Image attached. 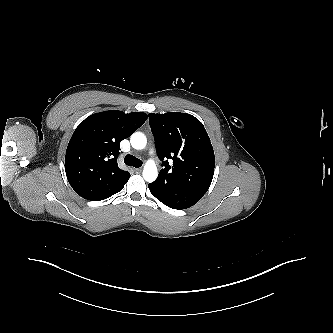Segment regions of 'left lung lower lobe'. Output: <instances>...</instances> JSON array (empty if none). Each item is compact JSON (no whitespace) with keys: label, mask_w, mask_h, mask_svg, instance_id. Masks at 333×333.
<instances>
[{"label":"left lung lower lobe","mask_w":333,"mask_h":333,"mask_svg":"<svg viewBox=\"0 0 333 333\" xmlns=\"http://www.w3.org/2000/svg\"><path fill=\"white\" fill-rule=\"evenodd\" d=\"M159 182V180H155L148 185L152 195L173 209H187L196 204L204 196V194L199 192L175 188L159 184Z\"/></svg>","instance_id":"obj_1"}]
</instances>
